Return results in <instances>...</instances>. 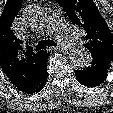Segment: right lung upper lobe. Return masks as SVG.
<instances>
[{
  "label": "right lung upper lobe",
  "mask_w": 113,
  "mask_h": 113,
  "mask_svg": "<svg viewBox=\"0 0 113 113\" xmlns=\"http://www.w3.org/2000/svg\"><path fill=\"white\" fill-rule=\"evenodd\" d=\"M22 2L7 0L0 17V65L18 90L35 78L45 58V52L34 53L30 46L25 48L13 33L12 23Z\"/></svg>",
  "instance_id": "cb5924a9"
}]
</instances>
